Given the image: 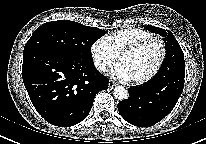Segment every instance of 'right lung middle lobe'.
Instances as JSON below:
<instances>
[{
    "label": "right lung middle lobe",
    "mask_w": 206,
    "mask_h": 144,
    "mask_svg": "<svg viewBox=\"0 0 206 144\" xmlns=\"http://www.w3.org/2000/svg\"><path fill=\"white\" fill-rule=\"evenodd\" d=\"M105 34L104 30L74 21L46 22L38 27L27 41L23 55L43 51L92 61L91 46Z\"/></svg>",
    "instance_id": "right-lung-middle-lobe-1"
}]
</instances>
